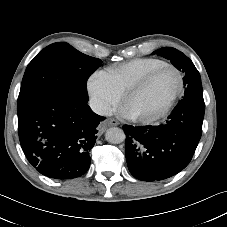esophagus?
Segmentation results:
<instances>
[{"mask_svg": "<svg viewBox=\"0 0 227 227\" xmlns=\"http://www.w3.org/2000/svg\"><path fill=\"white\" fill-rule=\"evenodd\" d=\"M108 124L111 125V126H117L119 123L115 119H109Z\"/></svg>", "mask_w": 227, "mask_h": 227, "instance_id": "esophagus-1", "label": "esophagus"}]
</instances>
